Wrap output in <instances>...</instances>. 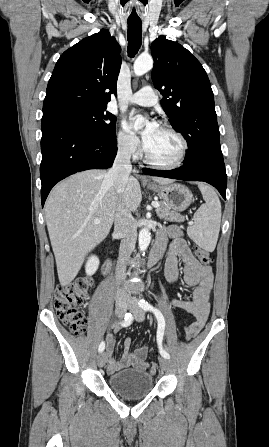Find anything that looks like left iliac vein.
Instances as JSON below:
<instances>
[{"mask_svg": "<svg viewBox=\"0 0 269 447\" xmlns=\"http://www.w3.org/2000/svg\"><path fill=\"white\" fill-rule=\"evenodd\" d=\"M128 309L133 314L136 321L141 322L145 318L144 310L137 304V300L135 298H131L128 302ZM159 365L162 370H165L169 367V360L161 357L159 358Z\"/></svg>", "mask_w": 269, "mask_h": 447, "instance_id": "obj_1", "label": "left iliac vein"}]
</instances>
